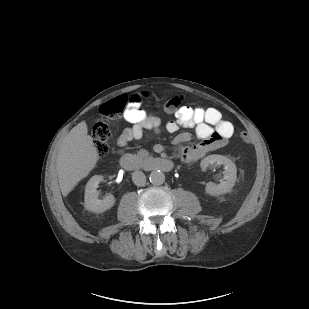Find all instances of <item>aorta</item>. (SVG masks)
<instances>
[{"mask_svg": "<svg viewBox=\"0 0 309 309\" xmlns=\"http://www.w3.org/2000/svg\"><path fill=\"white\" fill-rule=\"evenodd\" d=\"M149 180L153 185H161L165 181V175L162 171L155 170L150 173Z\"/></svg>", "mask_w": 309, "mask_h": 309, "instance_id": "1", "label": "aorta"}]
</instances>
